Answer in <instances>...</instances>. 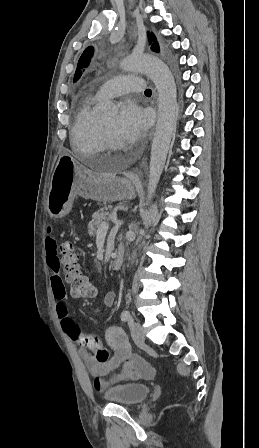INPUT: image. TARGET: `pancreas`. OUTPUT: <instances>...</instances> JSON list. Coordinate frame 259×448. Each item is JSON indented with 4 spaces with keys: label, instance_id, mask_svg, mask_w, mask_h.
Masks as SVG:
<instances>
[{
    "label": "pancreas",
    "instance_id": "obj_1",
    "mask_svg": "<svg viewBox=\"0 0 259 448\" xmlns=\"http://www.w3.org/2000/svg\"><path fill=\"white\" fill-rule=\"evenodd\" d=\"M92 218V222H89L88 224L89 236H95V234H97L96 228H99V224L104 222V220H109V218H111V214H109V212H105V208H102V210L94 212Z\"/></svg>",
    "mask_w": 259,
    "mask_h": 448
}]
</instances>
